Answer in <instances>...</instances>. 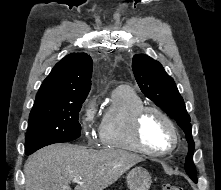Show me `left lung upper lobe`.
Wrapping results in <instances>:
<instances>
[{"instance_id": "obj_1", "label": "left lung upper lobe", "mask_w": 221, "mask_h": 190, "mask_svg": "<svg viewBox=\"0 0 221 190\" xmlns=\"http://www.w3.org/2000/svg\"><path fill=\"white\" fill-rule=\"evenodd\" d=\"M132 69L145 96L163 109L185 132L188 142L185 171L194 182H197L196 169L192 159L195 144L192 138L190 116L174 80L165 72L160 62L145 54L134 55Z\"/></svg>"}]
</instances>
